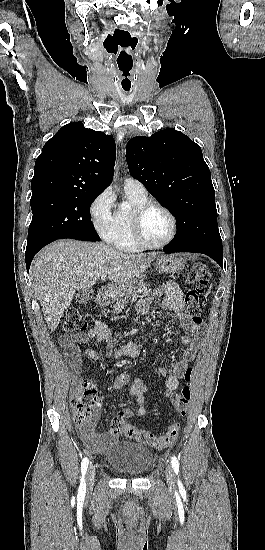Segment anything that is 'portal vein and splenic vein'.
I'll return each instance as SVG.
<instances>
[{
	"instance_id": "portal-vein-and-splenic-vein-1",
	"label": "portal vein and splenic vein",
	"mask_w": 265,
	"mask_h": 550,
	"mask_svg": "<svg viewBox=\"0 0 265 550\" xmlns=\"http://www.w3.org/2000/svg\"><path fill=\"white\" fill-rule=\"evenodd\" d=\"M106 278H107V275H106V274H103V275L101 276V280H102V281H105Z\"/></svg>"
}]
</instances>
